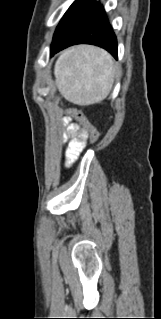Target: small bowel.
Masks as SVG:
<instances>
[{"label": "small bowel", "mask_w": 161, "mask_h": 319, "mask_svg": "<svg viewBox=\"0 0 161 319\" xmlns=\"http://www.w3.org/2000/svg\"><path fill=\"white\" fill-rule=\"evenodd\" d=\"M62 124L65 127L64 141L67 143L65 157L67 163L70 164L75 161L86 140L83 138V129L74 122L71 115L64 116Z\"/></svg>", "instance_id": "c3829d8e"}]
</instances>
